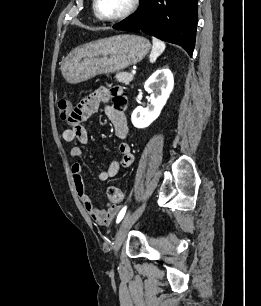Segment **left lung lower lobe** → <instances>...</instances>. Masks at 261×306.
<instances>
[{
	"instance_id": "0a47b994",
	"label": "left lung lower lobe",
	"mask_w": 261,
	"mask_h": 306,
	"mask_svg": "<svg viewBox=\"0 0 261 306\" xmlns=\"http://www.w3.org/2000/svg\"><path fill=\"white\" fill-rule=\"evenodd\" d=\"M198 0H140L136 13L114 29L143 31L182 46L192 56L197 28Z\"/></svg>"
}]
</instances>
